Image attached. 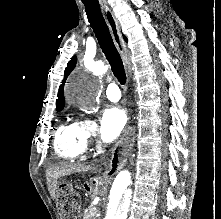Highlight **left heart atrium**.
<instances>
[{
    "label": "left heart atrium",
    "instance_id": "obj_1",
    "mask_svg": "<svg viewBox=\"0 0 221 219\" xmlns=\"http://www.w3.org/2000/svg\"><path fill=\"white\" fill-rule=\"evenodd\" d=\"M126 123V110L118 106L111 107L103 114L100 132L105 140H113L121 133Z\"/></svg>",
    "mask_w": 221,
    "mask_h": 219
}]
</instances>
